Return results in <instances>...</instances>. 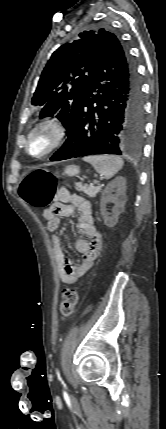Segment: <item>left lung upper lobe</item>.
Wrapping results in <instances>:
<instances>
[{"instance_id":"1","label":"left lung upper lobe","mask_w":166,"mask_h":429,"mask_svg":"<svg viewBox=\"0 0 166 429\" xmlns=\"http://www.w3.org/2000/svg\"><path fill=\"white\" fill-rule=\"evenodd\" d=\"M102 34L105 39L114 35L104 29L84 31L52 54L32 98V105L42 108L40 118L56 114L69 130L89 82L94 51Z\"/></svg>"}]
</instances>
